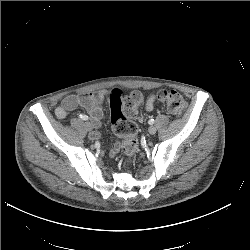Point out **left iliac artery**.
<instances>
[{
    "label": "left iliac artery",
    "instance_id": "44dca946",
    "mask_svg": "<svg viewBox=\"0 0 250 250\" xmlns=\"http://www.w3.org/2000/svg\"><path fill=\"white\" fill-rule=\"evenodd\" d=\"M154 122H155L154 119H150L148 123H149L150 125H152V124H154Z\"/></svg>",
    "mask_w": 250,
    "mask_h": 250
}]
</instances>
